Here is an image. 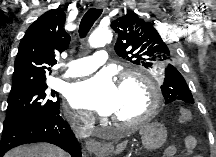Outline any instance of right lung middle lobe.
Returning a JSON list of instances; mask_svg holds the SVG:
<instances>
[{
	"instance_id": "dd1d6c3e",
	"label": "right lung middle lobe",
	"mask_w": 216,
	"mask_h": 157,
	"mask_svg": "<svg viewBox=\"0 0 216 157\" xmlns=\"http://www.w3.org/2000/svg\"><path fill=\"white\" fill-rule=\"evenodd\" d=\"M46 89L47 85H44L10 93L3 129L34 117L57 114L59 99L51 100V97H55L57 93L52 91V94L49 95Z\"/></svg>"
}]
</instances>
